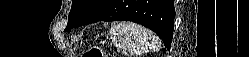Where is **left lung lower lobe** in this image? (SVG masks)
I'll list each match as a JSON object with an SVG mask.
<instances>
[{"label":"left lung lower lobe","mask_w":249,"mask_h":57,"mask_svg":"<svg viewBox=\"0 0 249 57\" xmlns=\"http://www.w3.org/2000/svg\"><path fill=\"white\" fill-rule=\"evenodd\" d=\"M174 18V0H109L97 14L81 25L97 21H133L154 31L170 49Z\"/></svg>","instance_id":"left-lung-lower-lobe-1"}]
</instances>
